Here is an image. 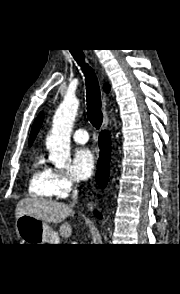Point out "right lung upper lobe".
Returning a JSON list of instances; mask_svg holds the SVG:
<instances>
[{
    "label": "right lung upper lobe",
    "instance_id": "1",
    "mask_svg": "<svg viewBox=\"0 0 180 294\" xmlns=\"http://www.w3.org/2000/svg\"><path fill=\"white\" fill-rule=\"evenodd\" d=\"M103 88H104L105 92H108L110 90V86L108 84H105ZM42 121H43V113L41 112L39 114V116L37 117V119L35 120L34 125L32 127V131H31L29 141H28L29 146L32 145V143H33L40 127H41Z\"/></svg>",
    "mask_w": 180,
    "mask_h": 294
}]
</instances>
